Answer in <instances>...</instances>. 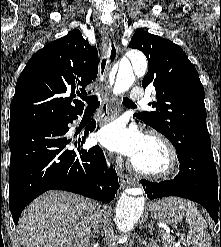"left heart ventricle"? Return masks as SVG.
<instances>
[{
	"label": "left heart ventricle",
	"instance_id": "b2bd125f",
	"mask_svg": "<svg viewBox=\"0 0 221 247\" xmlns=\"http://www.w3.org/2000/svg\"><path fill=\"white\" fill-rule=\"evenodd\" d=\"M137 167L148 172H160L168 166L165 148L157 141L146 138L140 152L132 159Z\"/></svg>",
	"mask_w": 221,
	"mask_h": 247
}]
</instances>
